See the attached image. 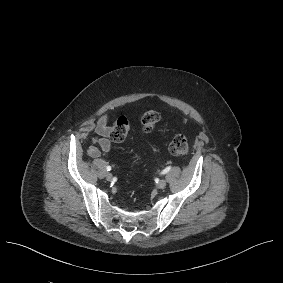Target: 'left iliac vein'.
I'll return each mask as SVG.
<instances>
[{
  "label": "left iliac vein",
  "instance_id": "1",
  "mask_svg": "<svg viewBox=\"0 0 283 283\" xmlns=\"http://www.w3.org/2000/svg\"><path fill=\"white\" fill-rule=\"evenodd\" d=\"M166 180L165 179H160L159 181H158V183H157V188H159V189H163L165 186H166Z\"/></svg>",
  "mask_w": 283,
  "mask_h": 283
}]
</instances>
